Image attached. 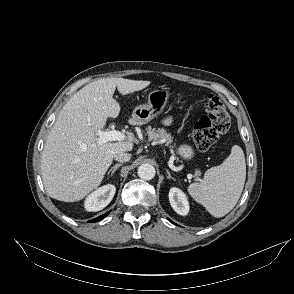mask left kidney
Returning <instances> with one entry per match:
<instances>
[{
    "label": "left kidney",
    "instance_id": "1",
    "mask_svg": "<svg viewBox=\"0 0 294 294\" xmlns=\"http://www.w3.org/2000/svg\"><path fill=\"white\" fill-rule=\"evenodd\" d=\"M169 201L176 213L185 216L189 212V203L184 192L178 188H171L169 191Z\"/></svg>",
    "mask_w": 294,
    "mask_h": 294
}]
</instances>
